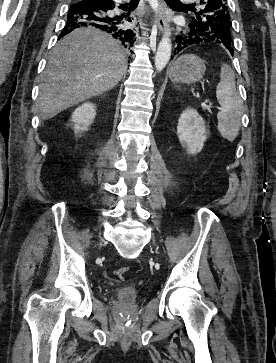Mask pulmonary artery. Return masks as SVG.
Segmentation results:
<instances>
[{
  "label": "pulmonary artery",
  "instance_id": "e3ab8cb5",
  "mask_svg": "<svg viewBox=\"0 0 276 363\" xmlns=\"http://www.w3.org/2000/svg\"><path fill=\"white\" fill-rule=\"evenodd\" d=\"M185 2H193L194 0H183Z\"/></svg>",
  "mask_w": 276,
  "mask_h": 363
}]
</instances>
